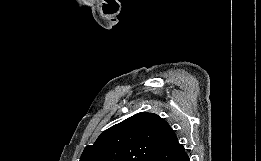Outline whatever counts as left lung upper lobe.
I'll use <instances>...</instances> for the list:
<instances>
[{
    "label": "left lung upper lobe",
    "instance_id": "left-lung-upper-lobe-1",
    "mask_svg": "<svg viewBox=\"0 0 261 161\" xmlns=\"http://www.w3.org/2000/svg\"><path fill=\"white\" fill-rule=\"evenodd\" d=\"M175 139L165 120L141 112L104 131L93 145L86 146L80 161H150Z\"/></svg>",
    "mask_w": 261,
    "mask_h": 161
}]
</instances>
